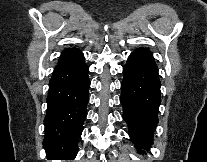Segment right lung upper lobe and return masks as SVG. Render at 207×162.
<instances>
[{"label":"right lung upper lobe","mask_w":207,"mask_h":162,"mask_svg":"<svg viewBox=\"0 0 207 162\" xmlns=\"http://www.w3.org/2000/svg\"><path fill=\"white\" fill-rule=\"evenodd\" d=\"M81 53L80 50L78 49H75V48H69V49H65L63 52H62V55H61V58L59 60V63L60 62H64V61H67V60H70V59H73L77 56H79Z\"/></svg>","instance_id":"right-lung-upper-lobe-1"}]
</instances>
